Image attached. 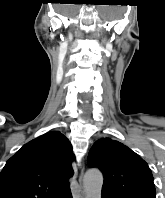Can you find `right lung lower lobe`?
<instances>
[{
  "label": "right lung lower lobe",
  "mask_w": 165,
  "mask_h": 198,
  "mask_svg": "<svg viewBox=\"0 0 165 198\" xmlns=\"http://www.w3.org/2000/svg\"><path fill=\"white\" fill-rule=\"evenodd\" d=\"M67 198H72V195H71V193L67 196Z\"/></svg>",
  "instance_id": "98d812e1"
}]
</instances>
